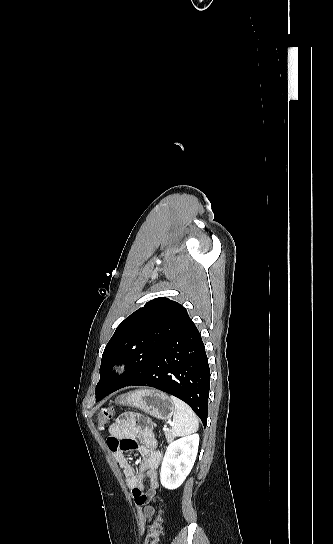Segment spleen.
Here are the masks:
<instances>
[{
    "label": "spleen",
    "mask_w": 333,
    "mask_h": 544,
    "mask_svg": "<svg viewBox=\"0 0 333 544\" xmlns=\"http://www.w3.org/2000/svg\"><path fill=\"white\" fill-rule=\"evenodd\" d=\"M170 398L175 406L172 434L174 436H182L197 431L199 423L193 410L175 396H171Z\"/></svg>",
    "instance_id": "spleen-1"
}]
</instances>
